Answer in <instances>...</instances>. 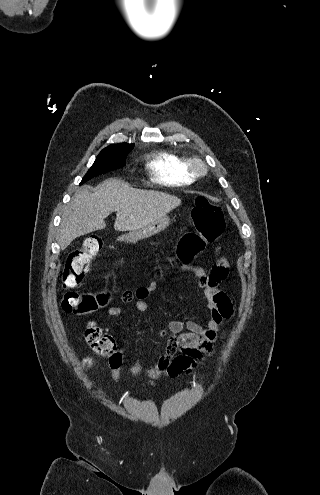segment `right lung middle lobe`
I'll return each instance as SVG.
<instances>
[{"instance_id": "1", "label": "right lung middle lobe", "mask_w": 320, "mask_h": 495, "mask_svg": "<svg viewBox=\"0 0 320 495\" xmlns=\"http://www.w3.org/2000/svg\"><path fill=\"white\" fill-rule=\"evenodd\" d=\"M131 150L132 149H103L80 184H83L97 175L125 166L126 156Z\"/></svg>"}]
</instances>
